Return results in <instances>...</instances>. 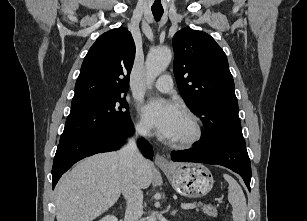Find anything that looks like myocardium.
Returning a JSON list of instances; mask_svg holds the SVG:
<instances>
[{
  "label": "myocardium",
  "mask_w": 307,
  "mask_h": 221,
  "mask_svg": "<svg viewBox=\"0 0 307 221\" xmlns=\"http://www.w3.org/2000/svg\"><path fill=\"white\" fill-rule=\"evenodd\" d=\"M183 115L189 119L192 125V132L187 137L170 141L171 146L179 149L190 148L199 142L203 136V127L199 117L191 111H184Z\"/></svg>",
  "instance_id": "myocardium-1"
}]
</instances>
